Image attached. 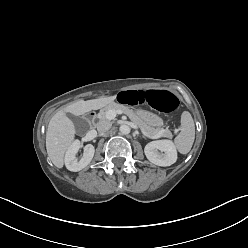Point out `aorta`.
<instances>
[{
	"instance_id": "aorta-1",
	"label": "aorta",
	"mask_w": 248,
	"mask_h": 248,
	"mask_svg": "<svg viewBox=\"0 0 248 248\" xmlns=\"http://www.w3.org/2000/svg\"><path fill=\"white\" fill-rule=\"evenodd\" d=\"M119 130H120V132H121L122 134L127 135V134L130 133L131 128H130L128 125L123 124V125L120 126Z\"/></svg>"
}]
</instances>
